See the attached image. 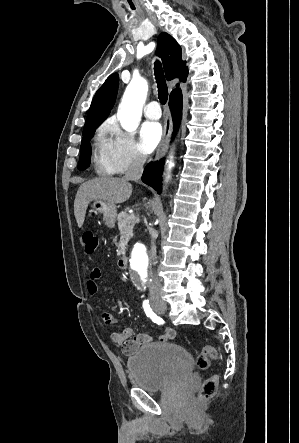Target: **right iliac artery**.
Returning <instances> with one entry per match:
<instances>
[{"label": "right iliac artery", "mask_w": 299, "mask_h": 443, "mask_svg": "<svg viewBox=\"0 0 299 443\" xmlns=\"http://www.w3.org/2000/svg\"><path fill=\"white\" fill-rule=\"evenodd\" d=\"M143 309L147 317H149L154 323H157L158 325L164 324L163 319L153 312L148 300L143 301Z\"/></svg>", "instance_id": "obj_1"}]
</instances>
